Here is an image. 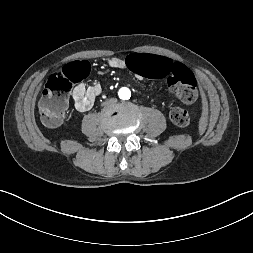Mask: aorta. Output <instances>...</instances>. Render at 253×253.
Returning a JSON list of instances; mask_svg holds the SVG:
<instances>
[{"instance_id": "aorta-1", "label": "aorta", "mask_w": 253, "mask_h": 253, "mask_svg": "<svg viewBox=\"0 0 253 253\" xmlns=\"http://www.w3.org/2000/svg\"><path fill=\"white\" fill-rule=\"evenodd\" d=\"M119 96L121 99H129L130 98V90L128 88H122L119 91Z\"/></svg>"}]
</instances>
